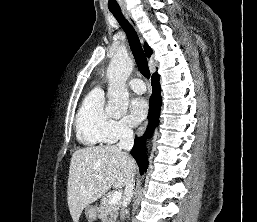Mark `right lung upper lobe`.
<instances>
[{"label":"right lung upper lobe","instance_id":"1","mask_svg":"<svg viewBox=\"0 0 257 222\" xmlns=\"http://www.w3.org/2000/svg\"><path fill=\"white\" fill-rule=\"evenodd\" d=\"M144 50H145V53H146V55L148 56V57H150L151 56V53H152V50H151V48L145 43V45H144Z\"/></svg>","mask_w":257,"mask_h":222}]
</instances>
